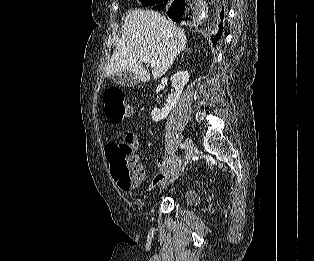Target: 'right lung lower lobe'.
Returning <instances> with one entry per match:
<instances>
[{
  "label": "right lung lower lobe",
  "instance_id": "98d812e1",
  "mask_svg": "<svg viewBox=\"0 0 314 261\" xmlns=\"http://www.w3.org/2000/svg\"><path fill=\"white\" fill-rule=\"evenodd\" d=\"M223 1V0H219ZM166 8L168 10V16L175 22L180 23L182 20H185V9L186 7L179 2L178 0H162L160 3L155 4L153 9H164ZM219 16L221 19V22L219 23V28L217 32H215L211 36V41L216 46V43L220 39L223 31V18H224V7L220 8Z\"/></svg>",
  "mask_w": 314,
  "mask_h": 261
}]
</instances>
